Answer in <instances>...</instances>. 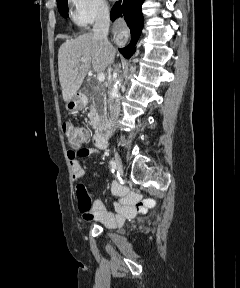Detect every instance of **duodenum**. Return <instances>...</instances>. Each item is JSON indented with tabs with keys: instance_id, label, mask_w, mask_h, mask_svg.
Here are the masks:
<instances>
[{
	"instance_id": "1",
	"label": "duodenum",
	"mask_w": 240,
	"mask_h": 288,
	"mask_svg": "<svg viewBox=\"0 0 240 288\" xmlns=\"http://www.w3.org/2000/svg\"><path fill=\"white\" fill-rule=\"evenodd\" d=\"M93 125L99 129V132L95 136V143L100 148L107 147V139L104 134V130L106 128L105 121L103 116L99 114H95L92 119Z\"/></svg>"
}]
</instances>
